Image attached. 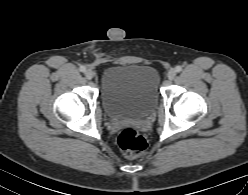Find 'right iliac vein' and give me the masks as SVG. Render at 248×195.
Masks as SVG:
<instances>
[{"instance_id": "obj_1", "label": "right iliac vein", "mask_w": 248, "mask_h": 195, "mask_svg": "<svg viewBox=\"0 0 248 195\" xmlns=\"http://www.w3.org/2000/svg\"><path fill=\"white\" fill-rule=\"evenodd\" d=\"M85 76H86L87 79H92V78L94 77V72H93V70L87 69V70L85 71Z\"/></svg>"}]
</instances>
